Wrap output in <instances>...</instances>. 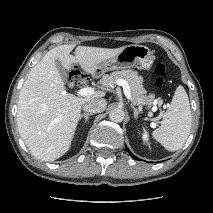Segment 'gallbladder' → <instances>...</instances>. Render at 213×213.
<instances>
[{"label":"gallbladder","mask_w":213,"mask_h":213,"mask_svg":"<svg viewBox=\"0 0 213 213\" xmlns=\"http://www.w3.org/2000/svg\"><path fill=\"white\" fill-rule=\"evenodd\" d=\"M55 64H56V67L58 69V72H59L61 78L63 79L64 82H66L67 81V74H66V70L63 67L62 63L59 60H56Z\"/></svg>","instance_id":"1"}]
</instances>
